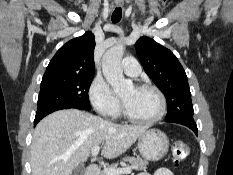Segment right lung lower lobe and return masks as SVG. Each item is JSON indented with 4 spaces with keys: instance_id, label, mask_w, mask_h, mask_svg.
<instances>
[{
    "instance_id": "98d812e1",
    "label": "right lung lower lobe",
    "mask_w": 233,
    "mask_h": 175,
    "mask_svg": "<svg viewBox=\"0 0 233 175\" xmlns=\"http://www.w3.org/2000/svg\"><path fill=\"white\" fill-rule=\"evenodd\" d=\"M61 109H68V108H60V109H51V110H48L42 114H39V115H36L35 117V120H34V126L43 118L45 117L46 115L54 112V111H57V110H61Z\"/></svg>"
}]
</instances>
